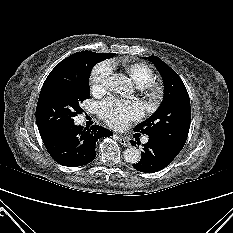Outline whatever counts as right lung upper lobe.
Masks as SVG:
<instances>
[{
    "instance_id": "1",
    "label": "right lung upper lobe",
    "mask_w": 233,
    "mask_h": 233,
    "mask_svg": "<svg viewBox=\"0 0 233 233\" xmlns=\"http://www.w3.org/2000/svg\"><path fill=\"white\" fill-rule=\"evenodd\" d=\"M75 56H76V55L73 54V55H71V56L65 58L64 60H62V61L59 63V65H62V64H66V63L71 62V61L74 59Z\"/></svg>"
}]
</instances>
